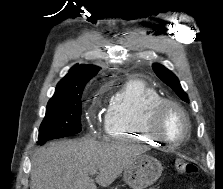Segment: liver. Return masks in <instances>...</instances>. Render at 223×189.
I'll return each instance as SVG.
<instances>
[{"instance_id": "6515ba94", "label": "liver", "mask_w": 223, "mask_h": 189, "mask_svg": "<svg viewBox=\"0 0 223 189\" xmlns=\"http://www.w3.org/2000/svg\"><path fill=\"white\" fill-rule=\"evenodd\" d=\"M140 154L126 142L100 143L93 138L51 142L32 160L30 189H97L107 187ZM93 170L99 173L95 180Z\"/></svg>"}]
</instances>
